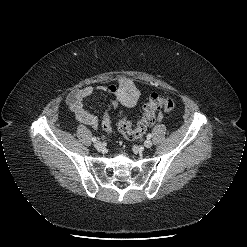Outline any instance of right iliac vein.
<instances>
[{"label": "right iliac vein", "mask_w": 247, "mask_h": 247, "mask_svg": "<svg viewBox=\"0 0 247 247\" xmlns=\"http://www.w3.org/2000/svg\"><path fill=\"white\" fill-rule=\"evenodd\" d=\"M94 146L97 150H101L103 148V144L100 141L95 142Z\"/></svg>", "instance_id": "1"}]
</instances>
